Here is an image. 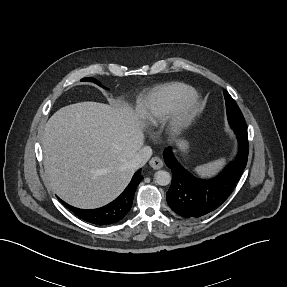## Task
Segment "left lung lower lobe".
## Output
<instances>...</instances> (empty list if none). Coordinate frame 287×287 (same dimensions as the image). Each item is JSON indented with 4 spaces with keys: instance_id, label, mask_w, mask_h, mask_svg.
<instances>
[{
    "instance_id": "obj_1",
    "label": "left lung lower lobe",
    "mask_w": 287,
    "mask_h": 287,
    "mask_svg": "<svg viewBox=\"0 0 287 287\" xmlns=\"http://www.w3.org/2000/svg\"><path fill=\"white\" fill-rule=\"evenodd\" d=\"M239 151L235 161L217 177L203 180L182 167L168 147L164 161L172 172V184L166 194L170 208L184 218H199L217 209L231 194L247 164L249 145L246 124H232Z\"/></svg>"
}]
</instances>
